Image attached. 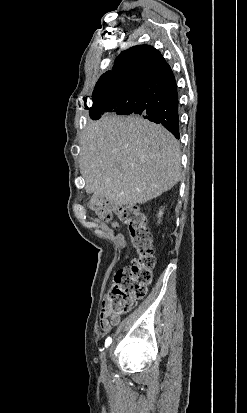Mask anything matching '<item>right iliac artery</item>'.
Segmentation results:
<instances>
[{
    "label": "right iliac artery",
    "instance_id": "1",
    "mask_svg": "<svg viewBox=\"0 0 247 413\" xmlns=\"http://www.w3.org/2000/svg\"><path fill=\"white\" fill-rule=\"evenodd\" d=\"M111 342H112V338H111V337H108V338L105 340V347L107 348V347L111 344Z\"/></svg>",
    "mask_w": 247,
    "mask_h": 413
}]
</instances>
